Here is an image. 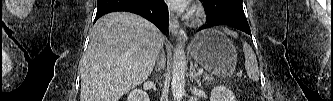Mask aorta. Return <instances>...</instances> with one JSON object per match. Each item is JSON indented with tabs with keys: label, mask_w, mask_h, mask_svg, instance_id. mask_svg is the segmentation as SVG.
I'll list each match as a JSON object with an SVG mask.
<instances>
[{
	"label": "aorta",
	"mask_w": 333,
	"mask_h": 101,
	"mask_svg": "<svg viewBox=\"0 0 333 101\" xmlns=\"http://www.w3.org/2000/svg\"><path fill=\"white\" fill-rule=\"evenodd\" d=\"M186 55L183 43H178L172 63L171 88L175 101H181L185 94Z\"/></svg>",
	"instance_id": "obj_1"
}]
</instances>
